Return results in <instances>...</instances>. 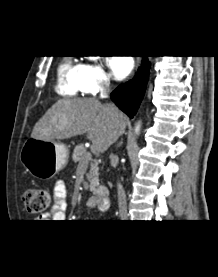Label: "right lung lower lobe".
<instances>
[{
	"label": "right lung lower lobe",
	"instance_id": "right-lung-lower-lobe-1",
	"mask_svg": "<svg viewBox=\"0 0 218 277\" xmlns=\"http://www.w3.org/2000/svg\"><path fill=\"white\" fill-rule=\"evenodd\" d=\"M143 57L142 66L138 69L135 77L111 93L115 104L130 118L133 117L140 105L148 80L150 63L145 58L146 56Z\"/></svg>",
	"mask_w": 218,
	"mask_h": 277
}]
</instances>
